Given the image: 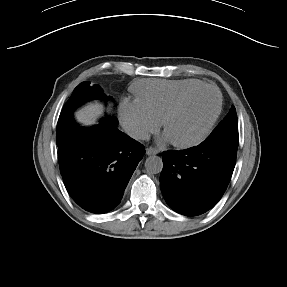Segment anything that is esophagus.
Here are the masks:
<instances>
[{
	"mask_svg": "<svg viewBox=\"0 0 287 287\" xmlns=\"http://www.w3.org/2000/svg\"><path fill=\"white\" fill-rule=\"evenodd\" d=\"M159 153V150L156 149V148H153V147H149L146 149V154L147 155H155V154H158Z\"/></svg>",
	"mask_w": 287,
	"mask_h": 287,
	"instance_id": "esophagus-1",
	"label": "esophagus"
}]
</instances>
